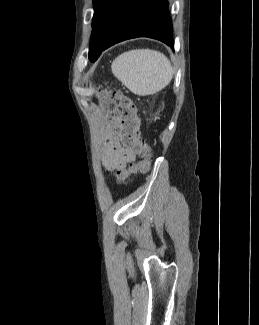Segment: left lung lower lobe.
Returning a JSON list of instances; mask_svg holds the SVG:
<instances>
[{
  "label": "left lung lower lobe",
  "instance_id": "0a47b994",
  "mask_svg": "<svg viewBox=\"0 0 259 325\" xmlns=\"http://www.w3.org/2000/svg\"><path fill=\"white\" fill-rule=\"evenodd\" d=\"M168 7L166 0H124L104 32L101 51L136 37L154 38L174 49Z\"/></svg>",
  "mask_w": 259,
  "mask_h": 325
}]
</instances>
